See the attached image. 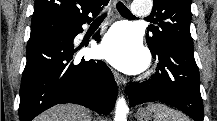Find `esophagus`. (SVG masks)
Segmentation results:
<instances>
[{"instance_id": "34e87169", "label": "esophagus", "mask_w": 217, "mask_h": 121, "mask_svg": "<svg viewBox=\"0 0 217 121\" xmlns=\"http://www.w3.org/2000/svg\"><path fill=\"white\" fill-rule=\"evenodd\" d=\"M112 2H113V5H114V7L116 9V4L118 3V0H112ZM113 75H114V78H115L118 85H120V86H125L126 85L127 80L123 75H121L120 73H118L115 70L113 71Z\"/></svg>"}]
</instances>
